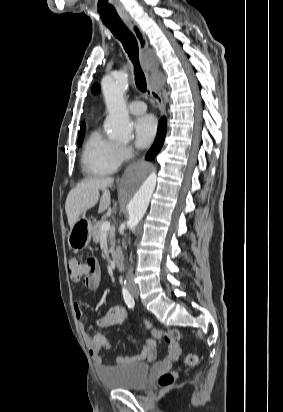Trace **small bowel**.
I'll list each match as a JSON object with an SVG mask.
<instances>
[{
  "mask_svg": "<svg viewBox=\"0 0 283 412\" xmlns=\"http://www.w3.org/2000/svg\"><path fill=\"white\" fill-rule=\"evenodd\" d=\"M84 285L87 289L95 291L100 287L101 284V271L97 263V268L94 272L88 273L83 278ZM74 312L78 319L84 318V311L80 302H74ZM127 317V312L122 305H116L110 308L105 314L96 319L95 325L98 328H111L122 323ZM142 324L151 331L152 335L156 338L161 337L162 332L160 330L152 329V325L148 320H143ZM85 341L90 349V354L96 363L99 372L103 373L106 371L108 366L104 363L101 356L102 350H108L111 348L110 342L107 338L100 334L94 333L90 334L87 326L82 324L81 326ZM181 349L178 344H170L168 347L167 359L175 360L179 357ZM155 357V342L152 339H147L141 352L139 354L127 357H117L115 359L116 363L119 365L136 363V362H150Z\"/></svg>",
  "mask_w": 283,
  "mask_h": 412,
  "instance_id": "1",
  "label": "small bowel"
}]
</instances>
